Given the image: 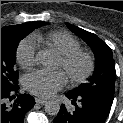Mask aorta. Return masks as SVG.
Instances as JSON below:
<instances>
[{"instance_id": "obj_1", "label": "aorta", "mask_w": 123, "mask_h": 123, "mask_svg": "<svg viewBox=\"0 0 123 123\" xmlns=\"http://www.w3.org/2000/svg\"><path fill=\"white\" fill-rule=\"evenodd\" d=\"M39 63L43 66H51L54 62V58L49 51H42L37 55ZM45 112L49 115L55 116L60 110L59 102L55 100H49L45 103Z\"/></svg>"}]
</instances>
